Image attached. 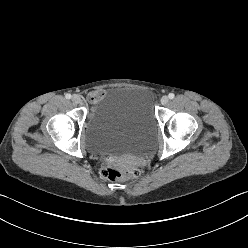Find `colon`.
Instances as JSON below:
<instances>
[{
  "mask_svg": "<svg viewBox=\"0 0 248 248\" xmlns=\"http://www.w3.org/2000/svg\"><path fill=\"white\" fill-rule=\"evenodd\" d=\"M100 175L108 180H131L139 175V170L135 167H122L116 164H108L102 168Z\"/></svg>",
  "mask_w": 248,
  "mask_h": 248,
  "instance_id": "5ec220e1",
  "label": "colon"
}]
</instances>
